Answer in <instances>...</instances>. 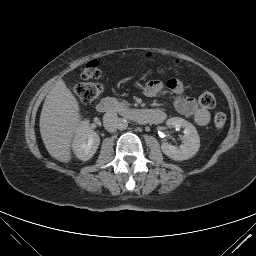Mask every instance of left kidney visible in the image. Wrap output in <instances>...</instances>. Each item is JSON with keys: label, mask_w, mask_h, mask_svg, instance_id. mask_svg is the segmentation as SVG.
<instances>
[{"label": "left kidney", "mask_w": 256, "mask_h": 256, "mask_svg": "<svg viewBox=\"0 0 256 256\" xmlns=\"http://www.w3.org/2000/svg\"><path fill=\"white\" fill-rule=\"evenodd\" d=\"M171 128H184L183 144L179 147L169 143H163L161 149L165 155L175 161H183L192 158L199 150L200 138L194 125L183 118L173 117L166 121Z\"/></svg>", "instance_id": "5707ae66"}]
</instances>
